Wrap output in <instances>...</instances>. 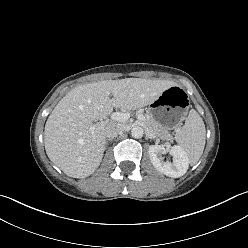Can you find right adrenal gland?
Here are the masks:
<instances>
[{"mask_svg": "<svg viewBox=\"0 0 248 248\" xmlns=\"http://www.w3.org/2000/svg\"><path fill=\"white\" fill-rule=\"evenodd\" d=\"M111 141V139H107L106 140V146L108 145V142Z\"/></svg>", "mask_w": 248, "mask_h": 248, "instance_id": "2a0ac1e0", "label": "right adrenal gland"}]
</instances>
